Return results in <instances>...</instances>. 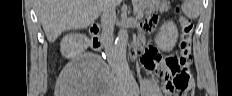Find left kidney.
<instances>
[{"instance_id": "left-kidney-1", "label": "left kidney", "mask_w": 232, "mask_h": 96, "mask_svg": "<svg viewBox=\"0 0 232 96\" xmlns=\"http://www.w3.org/2000/svg\"><path fill=\"white\" fill-rule=\"evenodd\" d=\"M177 39V27L172 21H169L161 26L160 31L155 38V43L160 50L166 52L174 48Z\"/></svg>"}]
</instances>
